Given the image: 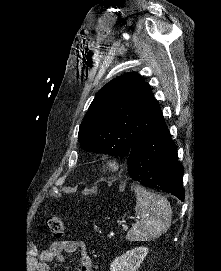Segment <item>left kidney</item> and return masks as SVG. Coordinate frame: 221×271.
Here are the masks:
<instances>
[{"mask_svg": "<svg viewBox=\"0 0 221 271\" xmlns=\"http://www.w3.org/2000/svg\"><path fill=\"white\" fill-rule=\"evenodd\" d=\"M148 253V247L140 245L134 249H128L119 257H115L110 265V271H136L140 267L144 257Z\"/></svg>", "mask_w": 221, "mask_h": 271, "instance_id": "left-kidney-1", "label": "left kidney"}]
</instances>
